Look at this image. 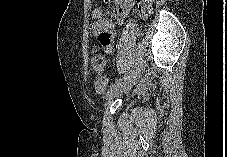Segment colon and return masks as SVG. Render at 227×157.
Wrapping results in <instances>:
<instances>
[{
    "mask_svg": "<svg viewBox=\"0 0 227 157\" xmlns=\"http://www.w3.org/2000/svg\"><path fill=\"white\" fill-rule=\"evenodd\" d=\"M154 0H140L138 3V15L140 18H148L153 11ZM106 64L105 54L103 52H95L91 59L92 68L95 71H101L104 69ZM108 76L100 75L97 76L94 81V88L97 93H104L108 86Z\"/></svg>",
    "mask_w": 227,
    "mask_h": 157,
    "instance_id": "obj_1",
    "label": "colon"
}]
</instances>
